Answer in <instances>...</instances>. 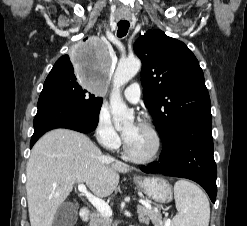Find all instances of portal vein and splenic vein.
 <instances>
[{
    "mask_svg": "<svg viewBox=\"0 0 247 226\" xmlns=\"http://www.w3.org/2000/svg\"><path fill=\"white\" fill-rule=\"evenodd\" d=\"M78 190L79 192H81L83 195H85L87 197V199L89 200V202L103 215L106 217H111L112 216V210L110 208V206L108 205V203H106L105 201H103L102 199L94 196L92 193H90L86 186L84 184H79L78 185ZM139 202L141 204H143L144 206H146L147 208L151 209V206L146 203L143 200H139ZM171 223L170 219H167L165 221V225L164 226H169Z\"/></svg>",
    "mask_w": 247,
    "mask_h": 226,
    "instance_id": "portal-vein-and-splenic-vein-1",
    "label": "portal vein and splenic vein"
}]
</instances>
